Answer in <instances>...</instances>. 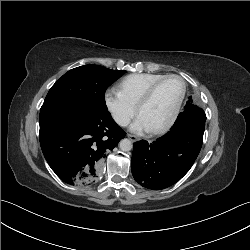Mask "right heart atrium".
Masks as SVG:
<instances>
[{
    "instance_id": "1",
    "label": "right heart atrium",
    "mask_w": 250,
    "mask_h": 250,
    "mask_svg": "<svg viewBox=\"0 0 250 250\" xmlns=\"http://www.w3.org/2000/svg\"><path fill=\"white\" fill-rule=\"evenodd\" d=\"M105 105L113 120L119 126H126L136 114V106L131 104L119 90L109 89L105 93Z\"/></svg>"
}]
</instances>
